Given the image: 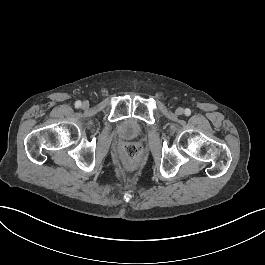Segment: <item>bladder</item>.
I'll return each instance as SVG.
<instances>
[{"label":"bladder","instance_id":"bladder-1","mask_svg":"<svg viewBox=\"0 0 265 265\" xmlns=\"http://www.w3.org/2000/svg\"><path fill=\"white\" fill-rule=\"evenodd\" d=\"M118 132L124 138L133 139L142 134L143 127L137 120L127 119L119 124Z\"/></svg>","mask_w":265,"mask_h":265}]
</instances>
